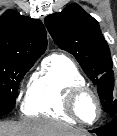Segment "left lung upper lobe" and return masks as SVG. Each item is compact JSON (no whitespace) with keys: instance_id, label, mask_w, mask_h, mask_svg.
<instances>
[{"instance_id":"5c2ea615","label":"left lung upper lobe","mask_w":117,"mask_h":136,"mask_svg":"<svg viewBox=\"0 0 117 136\" xmlns=\"http://www.w3.org/2000/svg\"><path fill=\"white\" fill-rule=\"evenodd\" d=\"M45 25L59 48L74 55L89 79L97 85L105 111L116 114L113 64L98 22L77 4H70L62 12L47 16Z\"/></svg>"}]
</instances>
